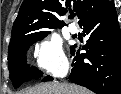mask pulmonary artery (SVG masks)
<instances>
[{
  "mask_svg": "<svg viewBox=\"0 0 121 94\" xmlns=\"http://www.w3.org/2000/svg\"><path fill=\"white\" fill-rule=\"evenodd\" d=\"M68 29H69V31H70L71 33H73V34H75V33L78 32V27H77L75 24H70V25L68 26Z\"/></svg>",
  "mask_w": 121,
  "mask_h": 94,
  "instance_id": "pulmonary-artery-1",
  "label": "pulmonary artery"
}]
</instances>
